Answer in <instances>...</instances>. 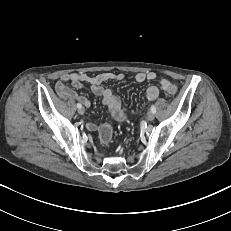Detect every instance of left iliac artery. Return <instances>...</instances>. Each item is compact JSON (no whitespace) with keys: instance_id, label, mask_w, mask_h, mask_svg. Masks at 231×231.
I'll return each instance as SVG.
<instances>
[{"instance_id":"obj_1","label":"left iliac artery","mask_w":231,"mask_h":231,"mask_svg":"<svg viewBox=\"0 0 231 231\" xmlns=\"http://www.w3.org/2000/svg\"><path fill=\"white\" fill-rule=\"evenodd\" d=\"M150 110H151L152 113H154V114L156 113V108H155L154 105L151 106Z\"/></svg>"}]
</instances>
